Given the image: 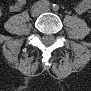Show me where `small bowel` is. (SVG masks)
Instances as JSON below:
<instances>
[{
    "label": "small bowel",
    "instance_id": "obj_1",
    "mask_svg": "<svg viewBox=\"0 0 91 91\" xmlns=\"http://www.w3.org/2000/svg\"><path fill=\"white\" fill-rule=\"evenodd\" d=\"M24 5V1L23 0H18L16 1L15 3H13L9 9L10 11L12 12H15V11H19ZM91 7V2L89 0H83L81 1L77 7H76V11L78 13H84L86 11H88Z\"/></svg>",
    "mask_w": 91,
    "mask_h": 91
}]
</instances>
